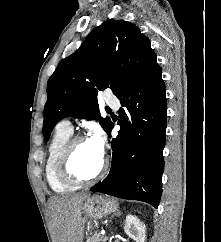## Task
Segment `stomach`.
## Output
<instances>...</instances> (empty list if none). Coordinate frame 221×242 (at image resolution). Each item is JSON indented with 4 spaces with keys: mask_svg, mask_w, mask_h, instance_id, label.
I'll return each instance as SVG.
<instances>
[{
    "mask_svg": "<svg viewBox=\"0 0 221 242\" xmlns=\"http://www.w3.org/2000/svg\"><path fill=\"white\" fill-rule=\"evenodd\" d=\"M117 210L118 203L116 200L102 195L90 196L82 206V213L85 215L83 223L87 222V228L93 229V225L97 226L98 219L114 213Z\"/></svg>",
    "mask_w": 221,
    "mask_h": 242,
    "instance_id": "obj_1",
    "label": "stomach"
}]
</instances>
